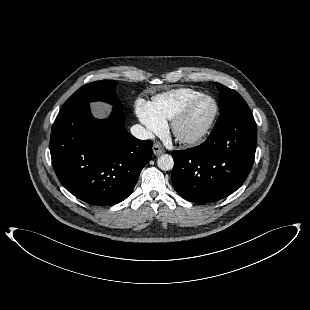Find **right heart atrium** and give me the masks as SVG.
Wrapping results in <instances>:
<instances>
[{
    "label": "right heart atrium",
    "instance_id": "d8ad5b80",
    "mask_svg": "<svg viewBox=\"0 0 310 310\" xmlns=\"http://www.w3.org/2000/svg\"><path fill=\"white\" fill-rule=\"evenodd\" d=\"M137 115L149 134H161L165 130L166 123L152 111L149 103L141 102L137 108Z\"/></svg>",
    "mask_w": 310,
    "mask_h": 310
}]
</instances>
